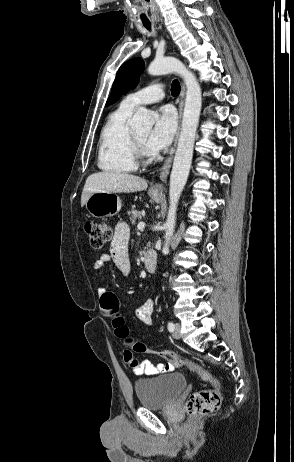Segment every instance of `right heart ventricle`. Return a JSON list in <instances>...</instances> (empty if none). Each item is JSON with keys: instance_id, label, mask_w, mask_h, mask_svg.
Returning <instances> with one entry per match:
<instances>
[{"instance_id": "1", "label": "right heart ventricle", "mask_w": 294, "mask_h": 462, "mask_svg": "<svg viewBox=\"0 0 294 462\" xmlns=\"http://www.w3.org/2000/svg\"><path fill=\"white\" fill-rule=\"evenodd\" d=\"M133 110L121 103L101 131L98 166L104 172L123 174L137 169L133 131L128 125Z\"/></svg>"}]
</instances>
